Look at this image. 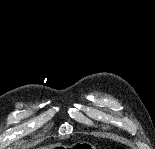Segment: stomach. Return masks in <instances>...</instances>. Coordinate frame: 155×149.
I'll return each mask as SVG.
<instances>
[{
  "label": "stomach",
  "mask_w": 155,
  "mask_h": 149,
  "mask_svg": "<svg viewBox=\"0 0 155 149\" xmlns=\"http://www.w3.org/2000/svg\"><path fill=\"white\" fill-rule=\"evenodd\" d=\"M71 148L73 149L92 148V145L89 143H78L73 145Z\"/></svg>",
  "instance_id": "obj_1"
}]
</instances>
